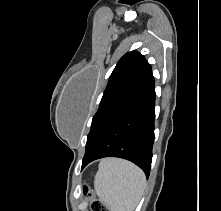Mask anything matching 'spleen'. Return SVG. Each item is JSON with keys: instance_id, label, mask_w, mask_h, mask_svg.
I'll return each mask as SVG.
<instances>
[{"instance_id": "spleen-1", "label": "spleen", "mask_w": 221, "mask_h": 211, "mask_svg": "<svg viewBox=\"0 0 221 211\" xmlns=\"http://www.w3.org/2000/svg\"><path fill=\"white\" fill-rule=\"evenodd\" d=\"M145 175L126 160H101L94 178V188L100 201L110 211H134L145 189Z\"/></svg>"}]
</instances>
